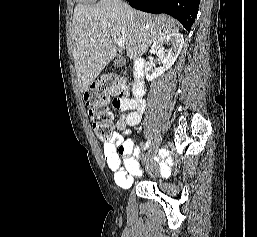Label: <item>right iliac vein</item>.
Instances as JSON below:
<instances>
[{"label":"right iliac vein","mask_w":257,"mask_h":237,"mask_svg":"<svg viewBox=\"0 0 257 237\" xmlns=\"http://www.w3.org/2000/svg\"><path fill=\"white\" fill-rule=\"evenodd\" d=\"M160 143H161V138L159 137L152 142L150 148L148 149V151L146 152L143 158V161H142L143 165H147L152 161V155L158 149Z\"/></svg>","instance_id":"1"}]
</instances>
